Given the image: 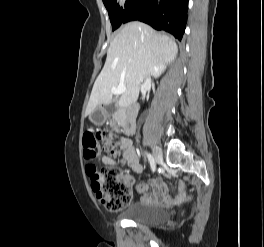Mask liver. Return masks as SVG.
Listing matches in <instances>:
<instances>
[{"label": "liver", "instance_id": "liver-1", "mask_svg": "<svg viewBox=\"0 0 264 247\" xmlns=\"http://www.w3.org/2000/svg\"><path fill=\"white\" fill-rule=\"evenodd\" d=\"M177 54L176 43L143 23H127L115 36L107 51L105 65L97 77L87 106L90 114L99 105L112 101V87L125 84L118 105L135 103L140 84L147 76L158 78Z\"/></svg>", "mask_w": 264, "mask_h": 247}]
</instances>
